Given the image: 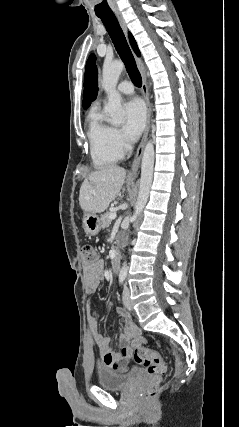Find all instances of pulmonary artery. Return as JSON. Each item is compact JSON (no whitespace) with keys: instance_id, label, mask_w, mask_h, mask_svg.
Segmentation results:
<instances>
[{"instance_id":"obj_1","label":"pulmonary artery","mask_w":239,"mask_h":427,"mask_svg":"<svg viewBox=\"0 0 239 427\" xmlns=\"http://www.w3.org/2000/svg\"><path fill=\"white\" fill-rule=\"evenodd\" d=\"M117 90L118 92H120L121 94H126V95H130L133 93V86L130 82L128 81H122L118 84L117 86Z\"/></svg>"}]
</instances>
